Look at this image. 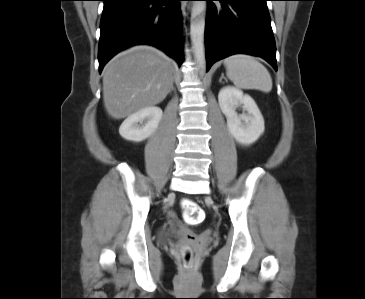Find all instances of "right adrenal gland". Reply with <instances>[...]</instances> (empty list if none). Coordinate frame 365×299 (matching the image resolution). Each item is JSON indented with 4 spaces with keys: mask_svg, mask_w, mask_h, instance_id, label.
<instances>
[{
    "mask_svg": "<svg viewBox=\"0 0 365 299\" xmlns=\"http://www.w3.org/2000/svg\"><path fill=\"white\" fill-rule=\"evenodd\" d=\"M173 81H174V78H173ZM175 90V88L173 87V85H172V88H171V91H174Z\"/></svg>",
    "mask_w": 365,
    "mask_h": 299,
    "instance_id": "obj_1",
    "label": "right adrenal gland"
}]
</instances>
